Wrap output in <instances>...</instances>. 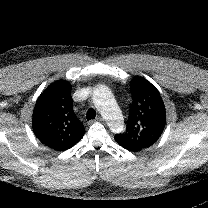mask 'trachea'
<instances>
[{
	"label": "trachea",
	"instance_id": "1",
	"mask_svg": "<svg viewBox=\"0 0 208 208\" xmlns=\"http://www.w3.org/2000/svg\"><path fill=\"white\" fill-rule=\"evenodd\" d=\"M95 117H96V111L93 108L88 109L86 113L87 120L89 121L95 119Z\"/></svg>",
	"mask_w": 208,
	"mask_h": 208
}]
</instances>
